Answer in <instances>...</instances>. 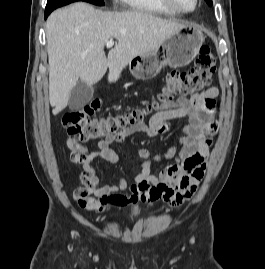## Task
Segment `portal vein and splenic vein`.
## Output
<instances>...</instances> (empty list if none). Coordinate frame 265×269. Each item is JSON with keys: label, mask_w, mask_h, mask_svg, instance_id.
I'll return each mask as SVG.
<instances>
[{"label": "portal vein and splenic vein", "mask_w": 265, "mask_h": 269, "mask_svg": "<svg viewBox=\"0 0 265 269\" xmlns=\"http://www.w3.org/2000/svg\"><path fill=\"white\" fill-rule=\"evenodd\" d=\"M113 45H114V41L113 40L107 41V43H106V47L107 48H111Z\"/></svg>", "instance_id": "obj_1"}]
</instances>
